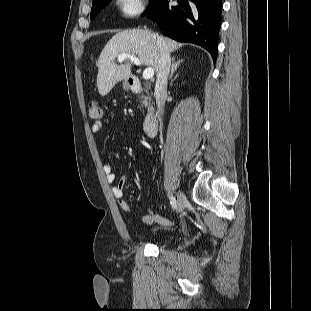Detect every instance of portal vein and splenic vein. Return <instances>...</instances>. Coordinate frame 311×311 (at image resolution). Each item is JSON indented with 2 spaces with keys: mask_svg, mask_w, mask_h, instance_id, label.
Listing matches in <instances>:
<instances>
[{
  "mask_svg": "<svg viewBox=\"0 0 311 311\" xmlns=\"http://www.w3.org/2000/svg\"><path fill=\"white\" fill-rule=\"evenodd\" d=\"M129 58L131 60L132 63L136 64V65H141L142 62L134 55L128 54V53H121L120 55H118V60L120 62L124 61L125 59ZM154 76V69L151 67H148L144 70L143 72V78L145 80H149Z\"/></svg>",
  "mask_w": 311,
  "mask_h": 311,
  "instance_id": "18ae733b",
  "label": "portal vein and splenic vein"
}]
</instances>
